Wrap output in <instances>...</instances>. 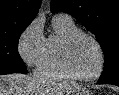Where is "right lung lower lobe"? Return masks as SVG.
Returning <instances> with one entry per match:
<instances>
[{
    "instance_id": "right-lung-lower-lobe-1",
    "label": "right lung lower lobe",
    "mask_w": 119,
    "mask_h": 95,
    "mask_svg": "<svg viewBox=\"0 0 119 95\" xmlns=\"http://www.w3.org/2000/svg\"><path fill=\"white\" fill-rule=\"evenodd\" d=\"M10 73H15V72L11 70L0 69V75L10 74Z\"/></svg>"
}]
</instances>
